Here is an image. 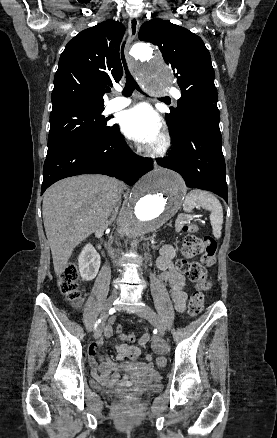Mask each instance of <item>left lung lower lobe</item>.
Returning a JSON list of instances; mask_svg holds the SVG:
<instances>
[{
  "instance_id": "obj_1",
  "label": "left lung lower lobe",
  "mask_w": 277,
  "mask_h": 438,
  "mask_svg": "<svg viewBox=\"0 0 277 438\" xmlns=\"http://www.w3.org/2000/svg\"><path fill=\"white\" fill-rule=\"evenodd\" d=\"M216 104L206 103L191 111L174 138L175 147L158 165L181 174L191 188L212 191L227 201L226 167Z\"/></svg>"
}]
</instances>
